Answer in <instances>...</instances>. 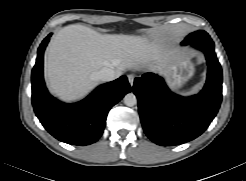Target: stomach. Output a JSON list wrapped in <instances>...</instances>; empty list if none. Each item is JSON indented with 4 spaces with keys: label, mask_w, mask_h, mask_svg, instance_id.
Listing matches in <instances>:
<instances>
[{
    "label": "stomach",
    "mask_w": 246,
    "mask_h": 181,
    "mask_svg": "<svg viewBox=\"0 0 246 181\" xmlns=\"http://www.w3.org/2000/svg\"><path fill=\"white\" fill-rule=\"evenodd\" d=\"M193 73L194 64L191 57L187 53L181 52L166 70L165 78L169 87L173 91H178L192 77Z\"/></svg>",
    "instance_id": "stomach-1"
}]
</instances>
